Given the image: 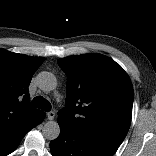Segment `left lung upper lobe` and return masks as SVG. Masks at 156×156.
Listing matches in <instances>:
<instances>
[{"mask_svg":"<svg viewBox=\"0 0 156 156\" xmlns=\"http://www.w3.org/2000/svg\"><path fill=\"white\" fill-rule=\"evenodd\" d=\"M58 65L67 75L66 107L58 120L120 146L130 127L134 97L124 69L101 54L68 56Z\"/></svg>","mask_w":156,"mask_h":156,"instance_id":"5c2ea615","label":"left lung upper lobe"}]
</instances>
